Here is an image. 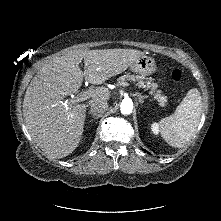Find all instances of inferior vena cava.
<instances>
[{
  "label": "inferior vena cava",
  "instance_id": "602c4592",
  "mask_svg": "<svg viewBox=\"0 0 221 221\" xmlns=\"http://www.w3.org/2000/svg\"><path fill=\"white\" fill-rule=\"evenodd\" d=\"M91 112L95 114H103L108 108V102L106 100H95L90 104Z\"/></svg>",
  "mask_w": 221,
  "mask_h": 221
}]
</instances>
